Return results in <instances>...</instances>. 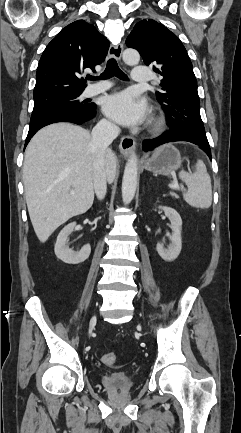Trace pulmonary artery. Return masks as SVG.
Instances as JSON below:
<instances>
[{
	"label": "pulmonary artery",
	"mask_w": 241,
	"mask_h": 433,
	"mask_svg": "<svg viewBox=\"0 0 241 433\" xmlns=\"http://www.w3.org/2000/svg\"><path fill=\"white\" fill-rule=\"evenodd\" d=\"M132 82L135 84H144L150 81L151 79V72L146 66H135L132 70V76H131ZM108 83H100L96 85L88 86L84 90V96H93L96 95L107 88H109Z\"/></svg>",
	"instance_id": "e3ab8cb5"
}]
</instances>
